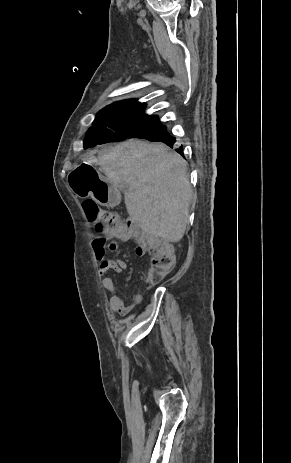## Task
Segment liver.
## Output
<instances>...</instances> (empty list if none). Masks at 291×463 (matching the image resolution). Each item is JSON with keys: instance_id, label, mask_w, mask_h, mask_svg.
<instances>
[{"instance_id": "liver-1", "label": "liver", "mask_w": 291, "mask_h": 463, "mask_svg": "<svg viewBox=\"0 0 291 463\" xmlns=\"http://www.w3.org/2000/svg\"><path fill=\"white\" fill-rule=\"evenodd\" d=\"M116 188L126 185L131 219L148 235L179 242L189 220L192 188L186 161L162 143L128 140L92 157Z\"/></svg>"}]
</instances>
